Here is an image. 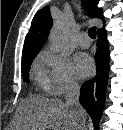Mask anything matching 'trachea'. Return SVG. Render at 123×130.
Here are the masks:
<instances>
[{
	"instance_id": "trachea-1",
	"label": "trachea",
	"mask_w": 123,
	"mask_h": 130,
	"mask_svg": "<svg viewBox=\"0 0 123 130\" xmlns=\"http://www.w3.org/2000/svg\"><path fill=\"white\" fill-rule=\"evenodd\" d=\"M88 35L90 38L95 39L96 38V29L95 27H92L88 30Z\"/></svg>"
}]
</instances>
